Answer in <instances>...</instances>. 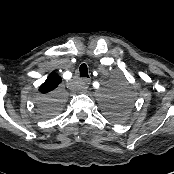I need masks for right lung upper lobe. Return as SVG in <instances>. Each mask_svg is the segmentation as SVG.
I'll return each instance as SVG.
<instances>
[{
    "mask_svg": "<svg viewBox=\"0 0 174 174\" xmlns=\"http://www.w3.org/2000/svg\"><path fill=\"white\" fill-rule=\"evenodd\" d=\"M59 83H61V78L56 73L52 72L40 86L39 91L42 93L51 92L58 87Z\"/></svg>",
    "mask_w": 174,
    "mask_h": 174,
    "instance_id": "obj_1",
    "label": "right lung upper lobe"
}]
</instances>
